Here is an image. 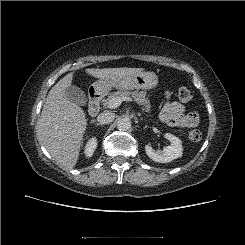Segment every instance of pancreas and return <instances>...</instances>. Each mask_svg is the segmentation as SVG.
Segmentation results:
<instances>
[{"label": "pancreas", "mask_w": 245, "mask_h": 245, "mask_svg": "<svg viewBox=\"0 0 245 245\" xmlns=\"http://www.w3.org/2000/svg\"><path fill=\"white\" fill-rule=\"evenodd\" d=\"M132 97L139 105L142 106V110L150 114L151 104L150 101L146 95L145 91H127V90H120L114 93H109L108 96L103 99V105L109 106V102L113 98L117 97Z\"/></svg>", "instance_id": "cf45deb5"}]
</instances>
